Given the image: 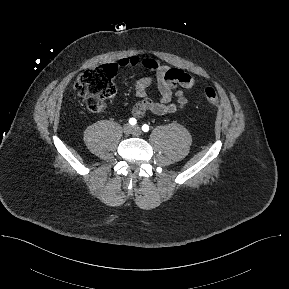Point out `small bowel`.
Listing matches in <instances>:
<instances>
[{"label":"small bowel","instance_id":"c3829d8e","mask_svg":"<svg viewBox=\"0 0 289 289\" xmlns=\"http://www.w3.org/2000/svg\"><path fill=\"white\" fill-rule=\"evenodd\" d=\"M116 66L121 68L140 66L151 72L152 76L138 79L135 84V93L138 102L132 109V115L143 117L150 112L156 115H166L185 111L190 101L186 97L184 89L193 88L196 79L188 73L161 64L152 56L131 55L122 57ZM155 85L158 92V100H152L147 96V91Z\"/></svg>","mask_w":289,"mask_h":289}]
</instances>
